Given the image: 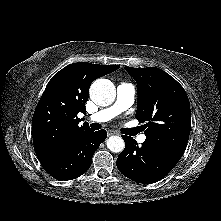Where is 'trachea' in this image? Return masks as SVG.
<instances>
[{
	"mask_svg": "<svg viewBox=\"0 0 221 221\" xmlns=\"http://www.w3.org/2000/svg\"><path fill=\"white\" fill-rule=\"evenodd\" d=\"M100 124H98V123H93L92 125H91V128L92 129H94V130H98V129H100Z\"/></svg>",
	"mask_w": 221,
	"mask_h": 221,
	"instance_id": "1",
	"label": "trachea"
}]
</instances>
